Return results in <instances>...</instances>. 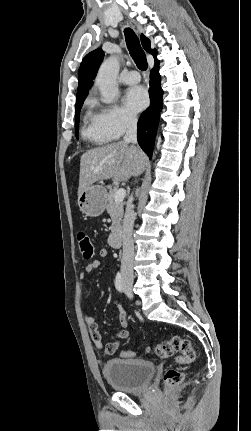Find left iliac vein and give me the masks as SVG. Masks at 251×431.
Segmentation results:
<instances>
[{
	"instance_id": "1",
	"label": "left iliac vein",
	"mask_w": 251,
	"mask_h": 431,
	"mask_svg": "<svg viewBox=\"0 0 251 431\" xmlns=\"http://www.w3.org/2000/svg\"><path fill=\"white\" fill-rule=\"evenodd\" d=\"M125 294H126L130 299H132V298H133L132 291H131V290H129L127 287H125Z\"/></svg>"
}]
</instances>
